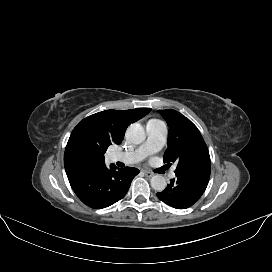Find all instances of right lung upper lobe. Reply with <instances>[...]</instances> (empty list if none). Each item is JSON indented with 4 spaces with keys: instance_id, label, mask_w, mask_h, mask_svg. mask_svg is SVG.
I'll return each instance as SVG.
<instances>
[{
    "instance_id": "right-lung-upper-lobe-1",
    "label": "right lung upper lobe",
    "mask_w": 272,
    "mask_h": 272,
    "mask_svg": "<svg viewBox=\"0 0 272 272\" xmlns=\"http://www.w3.org/2000/svg\"><path fill=\"white\" fill-rule=\"evenodd\" d=\"M150 108L105 110L79 122L65 148L64 166L68 177L97 170L105 166L104 159L85 150L86 142L119 145L127 127L147 115Z\"/></svg>"
}]
</instances>
